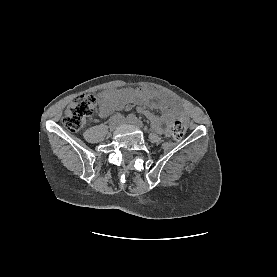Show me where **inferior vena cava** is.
Here are the masks:
<instances>
[{
  "instance_id": "obj_1",
  "label": "inferior vena cava",
  "mask_w": 277,
  "mask_h": 277,
  "mask_svg": "<svg viewBox=\"0 0 277 277\" xmlns=\"http://www.w3.org/2000/svg\"><path fill=\"white\" fill-rule=\"evenodd\" d=\"M119 117L122 119V122H124V117H123V116H121V115H120Z\"/></svg>"
}]
</instances>
